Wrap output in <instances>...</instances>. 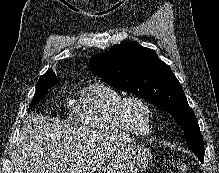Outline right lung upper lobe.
Masks as SVG:
<instances>
[{
	"label": "right lung upper lobe",
	"mask_w": 219,
	"mask_h": 173,
	"mask_svg": "<svg viewBox=\"0 0 219 173\" xmlns=\"http://www.w3.org/2000/svg\"><path fill=\"white\" fill-rule=\"evenodd\" d=\"M45 75H53V76H55L56 77V75H55V73L53 72V70L52 69H49L44 75H42V76H45ZM41 76V77H42ZM55 81H58L56 78H55Z\"/></svg>",
	"instance_id": "right-lung-upper-lobe-1"
}]
</instances>
